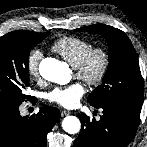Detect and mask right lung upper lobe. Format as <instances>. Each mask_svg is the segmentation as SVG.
I'll use <instances>...</instances> for the list:
<instances>
[{
	"instance_id": "right-lung-upper-lobe-1",
	"label": "right lung upper lobe",
	"mask_w": 147,
	"mask_h": 147,
	"mask_svg": "<svg viewBox=\"0 0 147 147\" xmlns=\"http://www.w3.org/2000/svg\"><path fill=\"white\" fill-rule=\"evenodd\" d=\"M13 32H29V31H13Z\"/></svg>"
}]
</instances>
